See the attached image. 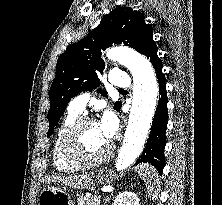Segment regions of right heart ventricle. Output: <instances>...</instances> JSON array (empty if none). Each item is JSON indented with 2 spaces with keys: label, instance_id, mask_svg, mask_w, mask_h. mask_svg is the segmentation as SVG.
Returning a JSON list of instances; mask_svg holds the SVG:
<instances>
[{
  "label": "right heart ventricle",
  "instance_id": "1",
  "mask_svg": "<svg viewBox=\"0 0 222 205\" xmlns=\"http://www.w3.org/2000/svg\"><path fill=\"white\" fill-rule=\"evenodd\" d=\"M77 116V113L69 111L56 132L52 146V162L55 169L58 171L69 172L80 168V165L75 164L66 158L62 148L64 134L76 120Z\"/></svg>",
  "mask_w": 222,
  "mask_h": 205
}]
</instances>
